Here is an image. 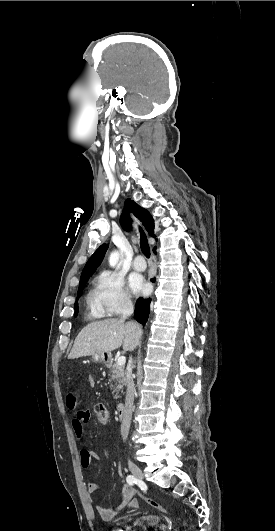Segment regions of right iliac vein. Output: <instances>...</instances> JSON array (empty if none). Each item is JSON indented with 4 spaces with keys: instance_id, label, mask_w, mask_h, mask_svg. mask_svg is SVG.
I'll return each mask as SVG.
<instances>
[{
    "instance_id": "right-iliac-vein-1",
    "label": "right iliac vein",
    "mask_w": 275,
    "mask_h": 531,
    "mask_svg": "<svg viewBox=\"0 0 275 531\" xmlns=\"http://www.w3.org/2000/svg\"><path fill=\"white\" fill-rule=\"evenodd\" d=\"M128 467H129L130 472L133 474V476L137 480H142L143 479V472H142L141 468L137 464H135L131 460H128Z\"/></svg>"
}]
</instances>
